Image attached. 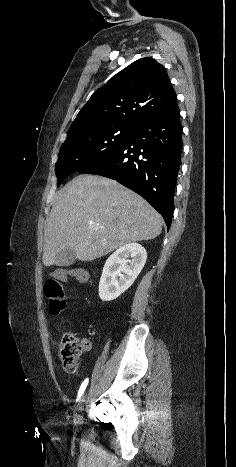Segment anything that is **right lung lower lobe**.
Here are the masks:
<instances>
[{"label":"right lung lower lobe","instance_id":"98d812e1","mask_svg":"<svg viewBox=\"0 0 236 467\" xmlns=\"http://www.w3.org/2000/svg\"><path fill=\"white\" fill-rule=\"evenodd\" d=\"M182 129L176 104L135 128L121 147L81 172L108 177L138 193L162 215L169 229L181 165Z\"/></svg>","mask_w":236,"mask_h":467}]
</instances>
